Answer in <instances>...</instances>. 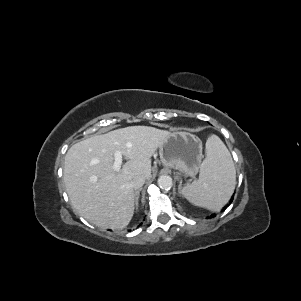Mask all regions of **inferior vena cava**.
Instances as JSON below:
<instances>
[{
    "label": "inferior vena cava",
    "instance_id": "1",
    "mask_svg": "<svg viewBox=\"0 0 301 301\" xmlns=\"http://www.w3.org/2000/svg\"><path fill=\"white\" fill-rule=\"evenodd\" d=\"M146 181V177L144 175H137L131 181V186L134 189H140Z\"/></svg>",
    "mask_w": 301,
    "mask_h": 301
}]
</instances>
